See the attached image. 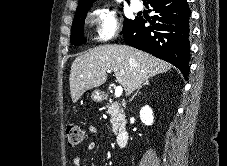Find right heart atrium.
Listing matches in <instances>:
<instances>
[{
	"label": "right heart atrium",
	"instance_id": "obj_1",
	"mask_svg": "<svg viewBox=\"0 0 227 166\" xmlns=\"http://www.w3.org/2000/svg\"><path fill=\"white\" fill-rule=\"evenodd\" d=\"M91 20L95 24V36L98 41L113 40L120 29L117 13L108 7H99L92 11Z\"/></svg>",
	"mask_w": 227,
	"mask_h": 166
}]
</instances>
